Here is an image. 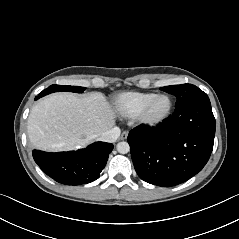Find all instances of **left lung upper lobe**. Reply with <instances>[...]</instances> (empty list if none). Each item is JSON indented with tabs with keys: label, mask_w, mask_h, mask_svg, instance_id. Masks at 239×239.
Wrapping results in <instances>:
<instances>
[{
	"label": "left lung upper lobe",
	"mask_w": 239,
	"mask_h": 239,
	"mask_svg": "<svg viewBox=\"0 0 239 239\" xmlns=\"http://www.w3.org/2000/svg\"><path fill=\"white\" fill-rule=\"evenodd\" d=\"M162 91L177 97L175 107L181 106L193 99L206 96L207 94L192 84L173 85L160 88Z\"/></svg>",
	"instance_id": "5c2ea615"
}]
</instances>
